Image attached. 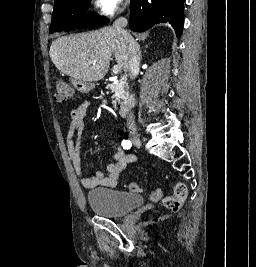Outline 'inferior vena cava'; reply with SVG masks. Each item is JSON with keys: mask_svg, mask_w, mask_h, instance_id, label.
I'll use <instances>...</instances> for the list:
<instances>
[{"mask_svg": "<svg viewBox=\"0 0 256 267\" xmlns=\"http://www.w3.org/2000/svg\"><path fill=\"white\" fill-rule=\"evenodd\" d=\"M128 22L126 18H118V20H115L112 28H115L116 32L118 34H121V36H125L129 48V62H128V72L130 76V80H134L135 78V72H139V66H140V60H141V52L138 44H136L135 40H132L130 34H128L127 30H124L126 28ZM127 126L129 128H135V118L133 114H129L127 116Z\"/></svg>", "mask_w": 256, "mask_h": 267, "instance_id": "obj_1", "label": "inferior vena cava"}]
</instances>
